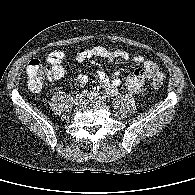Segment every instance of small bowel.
<instances>
[{
	"mask_svg": "<svg viewBox=\"0 0 195 195\" xmlns=\"http://www.w3.org/2000/svg\"><path fill=\"white\" fill-rule=\"evenodd\" d=\"M64 57L65 53L63 51L57 50L51 52L48 55L47 61L60 65ZM93 57H101L108 60L109 62H113L116 59H130V55L124 50H110L101 46H97L91 49L80 50L76 54V61L77 63L82 64L85 61L92 59ZM132 61L136 65V69L126 77L124 84L121 82L119 73L108 76L103 71H98L100 86L111 95L116 94L121 89H125L132 93H138L143 89L146 81L164 77V74L160 71L156 62L145 59L140 55L134 56ZM76 80L80 84H86L89 78L85 74H79Z\"/></svg>",
	"mask_w": 195,
	"mask_h": 195,
	"instance_id": "small-bowel-1",
	"label": "small bowel"
}]
</instances>
